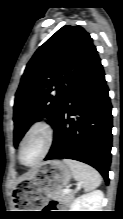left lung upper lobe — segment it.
Listing matches in <instances>:
<instances>
[{
    "instance_id": "1",
    "label": "left lung upper lobe",
    "mask_w": 123,
    "mask_h": 219,
    "mask_svg": "<svg viewBox=\"0 0 123 219\" xmlns=\"http://www.w3.org/2000/svg\"><path fill=\"white\" fill-rule=\"evenodd\" d=\"M97 56L80 26H63L37 49L15 94V146L38 117L46 116L54 127L75 81Z\"/></svg>"
}]
</instances>
